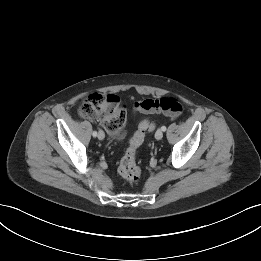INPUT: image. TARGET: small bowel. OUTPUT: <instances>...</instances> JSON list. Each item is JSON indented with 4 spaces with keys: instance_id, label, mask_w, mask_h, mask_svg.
<instances>
[{
    "instance_id": "obj_1",
    "label": "small bowel",
    "mask_w": 261,
    "mask_h": 261,
    "mask_svg": "<svg viewBox=\"0 0 261 261\" xmlns=\"http://www.w3.org/2000/svg\"><path fill=\"white\" fill-rule=\"evenodd\" d=\"M145 101L146 100L138 102V103L135 104V106H134V112L135 113H152V111L147 110L146 108L143 107V103Z\"/></svg>"
}]
</instances>
